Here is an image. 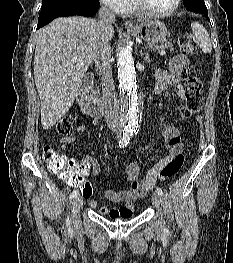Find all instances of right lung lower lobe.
<instances>
[{
	"instance_id": "right-lung-lower-lobe-1",
	"label": "right lung lower lobe",
	"mask_w": 233,
	"mask_h": 263,
	"mask_svg": "<svg viewBox=\"0 0 233 263\" xmlns=\"http://www.w3.org/2000/svg\"><path fill=\"white\" fill-rule=\"evenodd\" d=\"M99 6H100L99 2L95 3V2H92L89 0H85V1H82L80 3L78 8H76V10L72 14L67 15V16H71V15H82V16H86V17L93 16L98 11ZM49 22L38 23L37 29L43 27L44 25H46Z\"/></svg>"
}]
</instances>
